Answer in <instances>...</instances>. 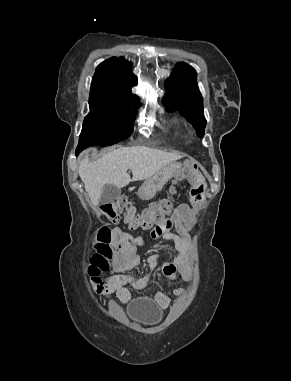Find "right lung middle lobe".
Instances as JSON below:
<instances>
[{"label":"right lung middle lobe","mask_w":291,"mask_h":381,"mask_svg":"<svg viewBox=\"0 0 291 381\" xmlns=\"http://www.w3.org/2000/svg\"><path fill=\"white\" fill-rule=\"evenodd\" d=\"M90 113L85 117L78 147L109 146L129 137L139 105L89 98Z\"/></svg>","instance_id":"dd1d6c3e"}]
</instances>
